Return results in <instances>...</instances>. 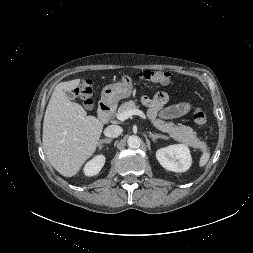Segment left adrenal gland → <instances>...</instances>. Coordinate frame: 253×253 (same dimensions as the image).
I'll list each match as a JSON object with an SVG mask.
<instances>
[{
    "instance_id": "obj_1",
    "label": "left adrenal gland",
    "mask_w": 253,
    "mask_h": 253,
    "mask_svg": "<svg viewBox=\"0 0 253 253\" xmlns=\"http://www.w3.org/2000/svg\"><path fill=\"white\" fill-rule=\"evenodd\" d=\"M149 137L152 139L153 142H155L157 139L159 138H162V139H165L167 140L168 137L167 136H164V135H161V134H152L151 132L149 133Z\"/></svg>"
}]
</instances>
